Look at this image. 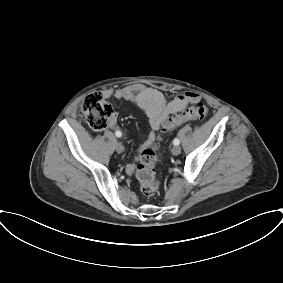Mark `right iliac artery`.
<instances>
[{"label":"right iliac artery","mask_w":283,"mask_h":283,"mask_svg":"<svg viewBox=\"0 0 283 283\" xmlns=\"http://www.w3.org/2000/svg\"><path fill=\"white\" fill-rule=\"evenodd\" d=\"M115 135H116L117 137H121V136H122V133H121L120 131H116V132H115Z\"/></svg>","instance_id":"82829eb1"}]
</instances>
